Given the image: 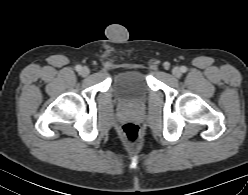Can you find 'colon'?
Segmentation results:
<instances>
[{"mask_svg": "<svg viewBox=\"0 0 248 195\" xmlns=\"http://www.w3.org/2000/svg\"><path fill=\"white\" fill-rule=\"evenodd\" d=\"M121 135L129 144H135L140 137V128L136 123L127 122L121 127Z\"/></svg>", "mask_w": 248, "mask_h": 195, "instance_id": "1", "label": "colon"}]
</instances>
